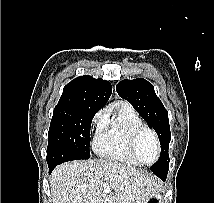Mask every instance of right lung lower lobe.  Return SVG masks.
Returning <instances> with one entry per match:
<instances>
[{
  "label": "right lung lower lobe",
  "mask_w": 214,
  "mask_h": 203,
  "mask_svg": "<svg viewBox=\"0 0 214 203\" xmlns=\"http://www.w3.org/2000/svg\"><path fill=\"white\" fill-rule=\"evenodd\" d=\"M48 167H49V173L55 168V166L53 165H48Z\"/></svg>",
  "instance_id": "obj_1"
}]
</instances>
